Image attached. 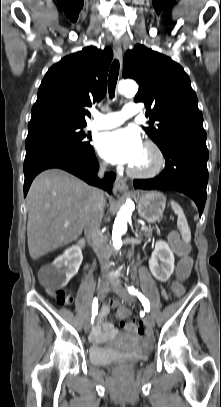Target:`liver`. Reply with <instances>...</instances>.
Listing matches in <instances>:
<instances>
[{
    "instance_id": "6515ba94",
    "label": "liver",
    "mask_w": 221,
    "mask_h": 407,
    "mask_svg": "<svg viewBox=\"0 0 221 407\" xmlns=\"http://www.w3.org/2000/svg\"><path fill=\"white\" fill-rule=\"evenodd\" d=\"M92 192L91 186L60 169L35 177L27 195V242L33 260L78 239L90 213Z\"/></svg>"
}]
</instances>
